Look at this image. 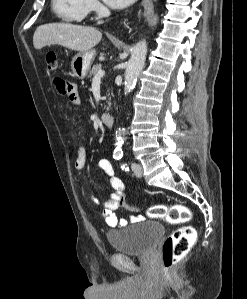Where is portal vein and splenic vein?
<instances>
[{
    "label": "portal vein and splenic vein",
    "mask_w": 247,
    "mask_h": 299,
    "mask_svg": "<svg viewBox=\"0 0 247 299\" xmlns=\"http://www.w3.org/2000/svg\"><path fill=\"white\" fill-rule=\"evenodd\" d=\"M104 75H105V72L103 70H99L93 79L100 80Z\"/></svg>",
    "instance_id": "1"
}]
</instances>
